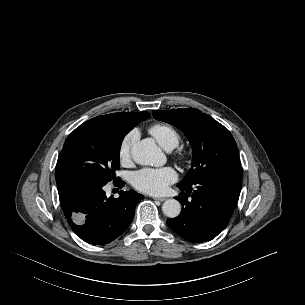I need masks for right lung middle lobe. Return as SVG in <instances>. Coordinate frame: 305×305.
Here are the masks:
<instances>
[{"instance_id": "1", "label": "right lung middle lobe", "mask_w": 305, "mask_h": 305, "mask_svg": "<svg viewBox=\"0 0 305 305\" xmlns=\"http://www.w3.org/2000/svg\"><path fill=\"white\" fill-rule=\"evenodd\" d=\"M130 127L90 119L67 137L55 169L56 181L81 179L106 185L120 169V147Z\"/></svg>"}]
</instances>
